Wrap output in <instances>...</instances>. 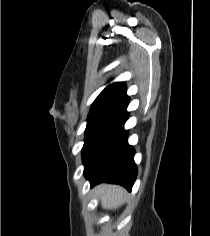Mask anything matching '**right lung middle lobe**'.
Listing matches in <instances>:
<instances>
[{
	"label": "right lung middle lobe",
	"instance_id": "dd1d6c3e",
	"mask_svg": "<svg viewBox=\"0 0 210 236\" xmlns=\"http://www.w3.org/2000/svg\"><path fill=\"white\" fill-rule=\"evenodd\" d=\"M128 99L126 92H122L114 99L94 102L88 116L85 140L100 124L121 108Z\"/></svg>",
	"mask_w": 210,
	"mask_h": 236
}]
</instances>
